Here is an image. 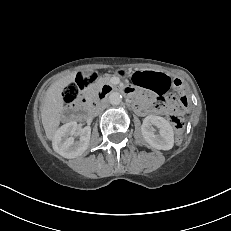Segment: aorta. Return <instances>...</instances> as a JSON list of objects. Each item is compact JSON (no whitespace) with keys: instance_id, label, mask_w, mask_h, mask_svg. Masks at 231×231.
Wrapping results in <instances>:
<instances>
[{"instance_id":"1","label":"aorta","mask_w":231,"mask_h":231,"mask_svg":"<svg viewBox=\"0 0 231 231\" xmlns=\"http://www.w3.org/2000/svg\"><path fill=\"white\" fill-rule=\"evenodd\" d=\"M109 102L112 105H119L122 102V95L119 92H111L109 95Z\"/></svg>"}]
</instances>
